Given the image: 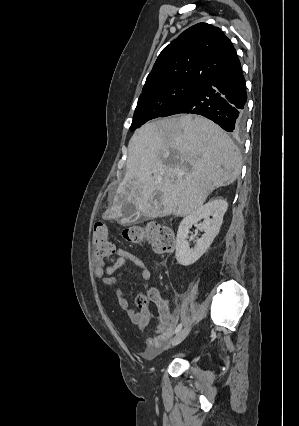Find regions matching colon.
Wrapping results in <instances>:
<instances>
[{"label":"colon","instance_id":"obj_1","mask_svg":"<svg viewBox=\"0 0 299 426\" xmlns=\"http://www.w3.org/2000/svg\"><path fill=\"white\" fill-rule=\"evenodd\" d=\"M124 238L137 245H150L158 253L171 252L175 245L172 230L159 223H150L144 226H131L123 231ZM93 244L95 254L105 261L114 252V245L109 240L108 230L104 223L97 222L93 227ZM147 303L145 297L138 299V304Z\"/></svg>","mask_w":299,"mask_h":426}]
</instances>
